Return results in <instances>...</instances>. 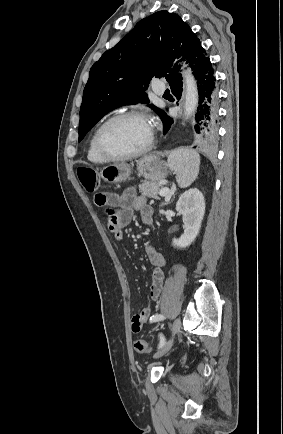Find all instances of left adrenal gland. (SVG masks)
<instances>
[{
  "instance_id": "1",
  "label": "left adrenal gland",
  "mask_w": 283,
  "mask_h": 434,
  "mask_svg": "<svg viewBox=\"0 0 283 434\" xmlns=\"http://www.w3.org/2000/svg\"><path fill=\"white\" fill-rule=\"evenodd\" d=\"M174 197H175V194H173V198H174ZM170 202H171V201L169 200V201L163 203L162 206H163V205H166V204H169Z\"/></svg>"
}]
</instances>
